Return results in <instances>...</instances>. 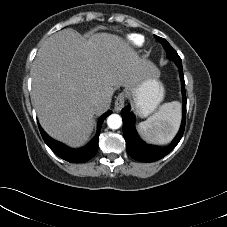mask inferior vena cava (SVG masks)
I'll list each match as a JSON object with an SVG mask.
<instances>
[{
  "instance_id": "obj_1",
  "label": "inferior vena cava",
  "mask_w": 227,
  "mask_h": 227,
  "mask_svg": "<svg viewBox=\"0 0 227 227\" xmlns=\"http://www.w3.org/2000/svg\"><path fill=\"white\" fill-rule=\"evenodd\" d=\"M102 103V99L98 96H96L94 99H93V104L95 106H99L100 104Z\"/></svg>"
}]
</instances>
